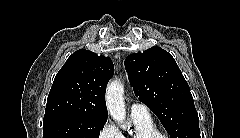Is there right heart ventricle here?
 <instances>
[{
	"instance_id": "e07e8e85",
	"label": "right heart ventricle",
	"mask_w": 240,
	"mask_h": 138,
	"mask_svg": "<svg viewBox=\"0 0 240 138\" xmlns=\"http://www.w3.org/2000/svg\"><path fill=\"white\" fill-rule=\"evenodd\" d=\"M134 133L122 138H148L153 134H159L157 127L152 119L148 117H133Z\"/></svg>"
}]
</instances>
